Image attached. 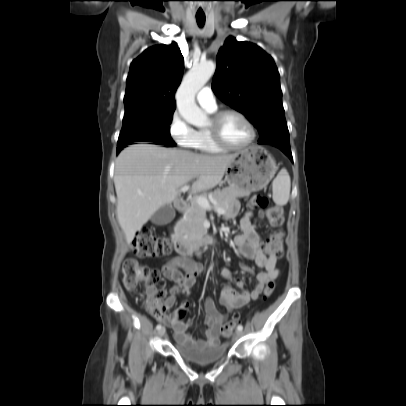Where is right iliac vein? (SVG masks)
I'll use <instances>...</instances> for the list:
<instances>
[{"label": "right iliac vein", "instance_id": "obj_1", "mask_svg": "<svg viewBox=\"0 0 406 406\" xmlns=\"http://www.w3.org/2000/svg\"><path fill=\"white\" fill-rule=\"evenodd\" d=\"M165 332H166L165 328L162 327V328L158 331V334H159V336H163V335L165 334Z\"/></svg>", "mask_w": 406, "mask_h": 406}]
</instances>
